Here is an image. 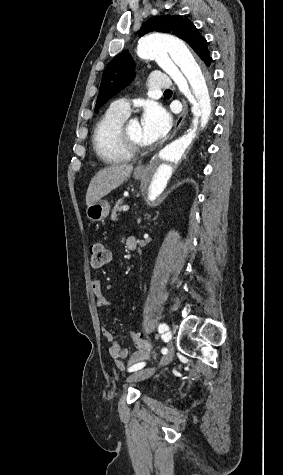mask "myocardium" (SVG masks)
Masks as SVG:
<instances>
[{
	"label": "myocardium",
	"mask_w": 283,
	"mask_h": 475,
	"mask_svg": "<svg viewBox=\"0 0 283 475\" xmlns=\"http://www.w3.org/2000/svg\"><path fill=\"white\" fill-rule=\"evenodd\" d=\"M128 124L126 122L119 128L118 135L113 145H104L99 150V155L105 160L118 162H131L144 155L150 144L140 145L134 143L128 135ZM112 146V147H111Z\"/></svg>",
	"instance_id": "myocardium-1"
}]
</instances>
